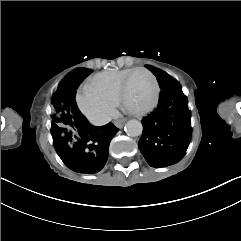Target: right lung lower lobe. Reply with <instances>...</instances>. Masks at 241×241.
Returning <instances> with one entry per match:
<instances>
[{
  "mask_svg": "<svg viewBox=\"0 0 241 241\" xmlns=\"http://www.w3.org/2000/svg\"><path fill=\"white\" fill-rule=\"evenodd\" d=\"M86 71L79 69L65 78L69 90L65 101L74 125V132L52 135V137L59 157L68 168L78 173H97L104 167L110 141L119 129L112 123L101 127L92 126L79 111L75 101L76 89L89 75Z\"/></svg>",
  "mask_w": 241,
  "mask_h": 241,
  "instance_id": "1",
  "label": "right lung lower lobe"
}]
</instances>
